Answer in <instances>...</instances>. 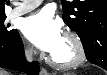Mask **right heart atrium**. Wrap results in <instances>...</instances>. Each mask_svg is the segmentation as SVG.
Returning <instances> with one entry per match:
<instances>
[{"instance_id": "d8ad5b80", "label": "right heart atrium", "mask_w": 107, "mask_h": 75, "mask_svg": "<svg viewBox=\"0 0 107 75\" xmlns=\"http://www.w3.org/2000/svg\"><path fill=\"white\" fill-rule=\"evenodd\" d=\"M25 53L27 55H32L34 53V48L30 44H26L25 46Z\"/></svg>"}]
</instances>
